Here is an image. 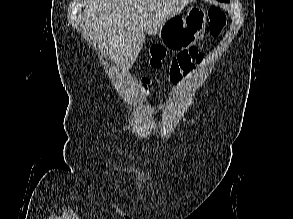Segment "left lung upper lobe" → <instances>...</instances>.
Segmentation results:
<instances>
[{"mask_svg": "<svg viewBox=\"0 0 293 219\" xmlns=\"http://www.w3.org/2000/svg\"><path fill=\"white\" fill-rule=\"evenodd\" d=\"M218 1H225V2H229V0H218Z\"/></svg>", "mask_w": 293, "mask_h": 219, "instance_id": "5c2ea615", "label": "left lung upper lobe"}]
</instances>
